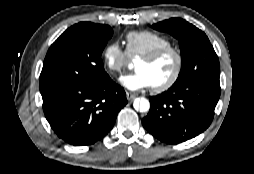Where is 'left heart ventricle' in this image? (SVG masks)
Here are the masks:
<instances>
[{
  "label": "left heart ventricle",
  "mask_w": 254,
  "mask_h": 174,
  "mask_svg": "<svg viewBox=\"0 0 254 174\" xmlns=\"http://www.w3.org/2000/svg\"><path fill=\"white\" fill-rule=\"evenodd\" d=\"M176 58L173 53H166L155 62L138 61L136 70L144 71L151 79L153 86L166 82L174 72Z\"/></svg>",
  "instance_id": "left-heart-ventricle-1"
}]
</instances>
